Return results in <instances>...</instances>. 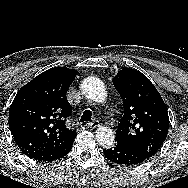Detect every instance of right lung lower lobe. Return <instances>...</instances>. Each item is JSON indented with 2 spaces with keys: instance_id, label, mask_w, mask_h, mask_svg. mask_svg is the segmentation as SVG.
Listing matches in <instances>:
<instances>
[{
  "instance_id": "98d812e1",
  "label": "right lung lower lobe",
  "mask_w": 188,
  "mask_h": 188,
  "mask_svg": "<svg viewBox=\"0 0 188 188\" xmlns=\"http://www.w3.org/2000/svg\"><path fill=\"white\" fill-rule=\"evenodd\" d=\"M75 137L72 138L71 140H69L67 143L60 145L58 147L44 149L41 151H36V152H33L27 156L29 158H32V159L38 160V161L39 160L40 161H42V160L43 161H52V160L62 158L71 151Z\"/></svg>"
}]
</instances>
